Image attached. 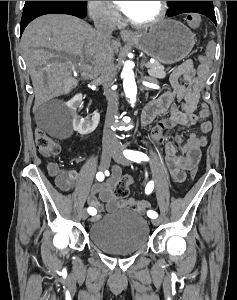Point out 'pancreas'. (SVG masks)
Returning <instances> with one entry per match:
<instances>
[{
	"label": "pancreas",
	"mask_w": 237,
	"mask_h": 300,
	"mask_svg": "<svg viewBox=\"0 0 237 300\" xmlns=\"http://www.w3.org/2000/svg\"><path fill=\"white\" fill-rule=\"evenodd\" d=\"M150 65H153V68L148 69L149 75L151 77H159V79H162V77H165V71L163 65H160L158 61H155V63H149ZM146 67V64H145Z\"/></svg>",
	"instance_id": "obj_1"
}]
</instances>
